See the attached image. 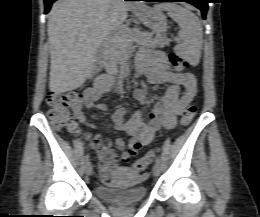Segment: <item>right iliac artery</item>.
<instances>
[{"instance_id":"1","label":"right iliac artery","mask_w":260,"mask_h":217,"mask_svg":"<svg viewBox=\"0 0 260 217\" xmlns=\"http://www.w3.org/2000/svg\"><path fill=\"white\" fill-rule=\"evenodd\" d=\"M84 161H85L86 164L89 162V155L85 156Z\"/></svg>"}]
</instances>
